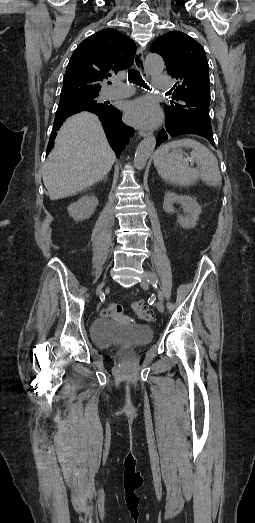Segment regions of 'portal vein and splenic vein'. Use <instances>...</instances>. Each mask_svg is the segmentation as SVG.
Here are the masks:
<instances>
[{
	"instance_id": "obj_1",
	"label": "portal vein and splenic vein",
	"mask_w": 255,
	"mask_h": 523,
	"mask_svg": "<svg viewBox=\"0 0 255 523\" xmlns=\"http://www.w3.org/2000/svg\"><path fill=\"white\" fill-rule=\"evenodd\" d=\"M189 166H194V161H189Z\"/></svg>"
}]
</instances>
